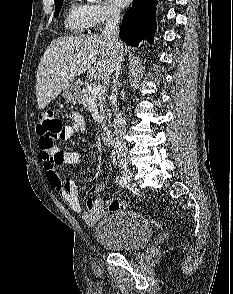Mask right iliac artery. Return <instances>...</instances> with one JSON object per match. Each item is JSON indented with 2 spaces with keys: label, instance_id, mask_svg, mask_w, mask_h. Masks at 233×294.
<instances>
[{
  "label": "right iliac artery",
  "instance_id": "obj_1",
  "mask_svg": "<svg viewBox=\"0 0 233 294\" xmlns=\"http://www.w3.org/2000/svg\"><path fill=\"white\" fill-rule=\"evenodd\" d=\"M116 182L121 187H126L127 186V180H126L125 177L118 176L117 179H116Z\"/></svg>",
  "mask_w": 233,
  "mask_h": 294
}]
</instances>
